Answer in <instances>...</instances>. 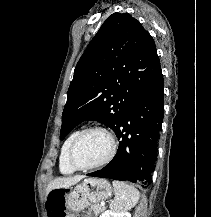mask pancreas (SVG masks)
Here are the masks:
<instances>
[{
	"label": "pancreas",
	"instance_id": "pancreas-1",
	"mask_svg": "<svg viewBox=\"0 0 211 217\" xmlns=\"http://www.w3.org/2000/svg\"><path fill=\"white\" fill-rule=\"evenodd\" d=\"M104 210L99 204H91L89 208V212L93 211L94 214L97 216Z\"/></svg>",
	"mask_w": 211,
	"mask_h": 217
}]
</instances>
